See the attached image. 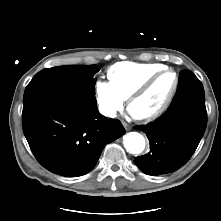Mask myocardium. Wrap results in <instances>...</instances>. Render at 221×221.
I'll use <instances>...</instances> for the list:
<instances>
[{"instance_id":"f54148a6","label":"myocardium","mask_w":221,"mask_h":221,"mask_svg":"<svg viewBox=\"0 0 221 221\" xmlns=\"http://www.w3.org/2000/svg\"><path fill=\"white\" fill-rule=\"evenodd\" d=\"M172 73L174 75L175 81L173 88L168 95L167 99L163 103V105L155 112L147 115H132V117L141 122H151L159 117H161L170 107L179 87V75L178 73L169 67H165L158 72L154 73L150 76L136 91H134L128 98L127 109L131 112L132 105L140 98H142L152 87L153 85L166 73Z\"/></svg>"}]
</instances>
